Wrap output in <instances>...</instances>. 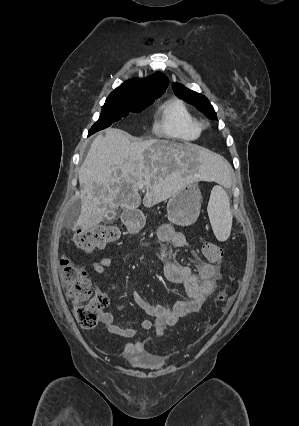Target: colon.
Here are the masks:
<instances>
[{
	"label": "colon",
	"mask_w": 299,
	"mask_h": 426,
	"mask_svg": "<svg viewBox=\"0 0 299 426\" xmlns=\"http://www.w3.org/2000/svg\"><path fill=\"white\" fill-rule=\"evenodd\" d=\"M119 238V230L114 226H96L79 230L73 239L74 246L81 251L90 252L102 248ZM204 256L211 262L221 263L224 260V250L214 244L203 246ZM62 282L66 297L74 304V314L78 324L84 329L94 328L99 320V313L107 304L102 292L95 289L87 277L85 270L75 265L67 257L61 260ZM221 303L227 301V295L218 296Z\"/></svg>",
	"instance_id": "colon-1"
}]
</instances>
